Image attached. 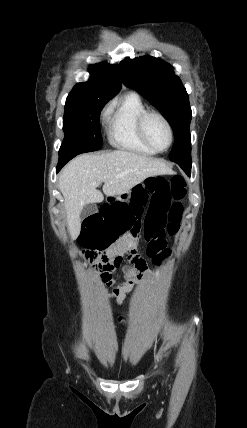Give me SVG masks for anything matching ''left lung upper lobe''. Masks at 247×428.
Listing matches in <instances>:
<instances>
[{
  "label": "left lung upper lobe",
  "instance_id": "left-lung-upper-lobe-1",
  "mask_svg": "<svg viewBox=\"0 0 247 428\" xmlns=\"http://www.w3.org/2000/svg\"><path fill=\"white\" fill-rule=\"evenodd\" d=\"M172 66L160 58L142 56L119 64L122 82L154 105L171 125L175 143L170 153L173 162H191L188 94Z\"/></svg>",
  "mask_w": 247,
  "mask_h": 428
}]
</instances>
